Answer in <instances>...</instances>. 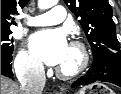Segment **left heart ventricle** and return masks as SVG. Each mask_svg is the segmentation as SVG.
Listing matches in <instances>:
<instances>
[{
  "label": "left heart ventricle",
  "instance_id": "b2bd125f",
  "mask_svg": "<svg viewBox=\"0 0 121 94\" xmlns=\"http://www.w3.org/2000/svg\"><path fill=\"white\" fill-rule=\"evenodd\" d=\"M78 61H79V56L77 51L69 47L65 58L58 66L62 69L69 70L74 68L78 64Z\"/></svg>",
  "mask_w": 121,
  "mask_h": 94
}]
</instances>
